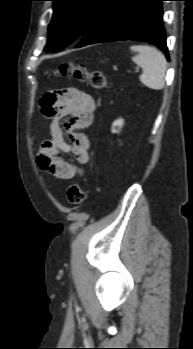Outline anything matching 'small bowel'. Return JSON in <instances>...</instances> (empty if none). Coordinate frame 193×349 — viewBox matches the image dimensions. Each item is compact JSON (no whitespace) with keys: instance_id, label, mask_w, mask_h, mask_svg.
<instances>
[{"instance_id":"c3829d8e","label":"small bowel","mask_w":193,"mask_h":349,"mask_svg":"<svg viewBox=\"0 0 193 349\" xmlns=\"http://www.w3.org/2000/svg\"><path fill=\"white\" fill-rule=\"evenodd\" d=\"M94 111L93 98L77 88L59 91L52 112L42 108V113L50 118L49 136L42 142L38 155L42 170L64 180L83 176V166L90 159V142L81 130L92 124ZM66 117L69 119L65 121ZM62 154H72L78 165L67 162Z\"/></svg>"}]
</instances>
